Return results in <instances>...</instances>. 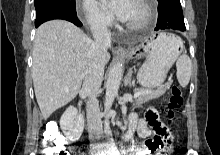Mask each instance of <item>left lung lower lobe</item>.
Here are the masks:
<instances>
[{
    "mask_svg": "<svg viewBox=\"0 0 220 155\" xmlns=\"http://www.w3.org/2000/svg\"><path fill=\"white\" fill-rule=\"evenodd\" d=\"M163 29L186 30L180 0H165L159 2L158 20L155 30Z\"/></svg>",
    "mask_w": 220,
    "mask_h": 155,
    "instance_id": "left-lung-lower-lobe-1",
    "label": "left lung lower lobe"
}]
</instances>
